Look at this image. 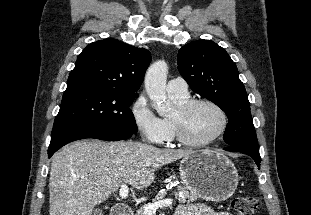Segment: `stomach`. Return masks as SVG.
Segmentation results:
<instances>
[{
    "mask_svg": "<svg viewBox=\"0 0 311 215\" xmlns=\"http://www.w3.org/2000/svg\"><path fill=\"white\" fill-rule=\"evenodd\" d=\"M179 172L184 186L206 201H225L238 185V172L232 161L213 150L192 152L184 157Z\"/></svg>",
    "mask_w": 311,
    "mask_h": 215,
    "instance_id": "obj_1",
    "label": "stomach"
}]
</instances>
